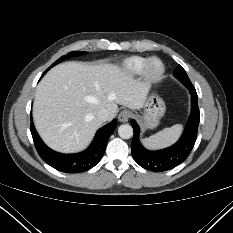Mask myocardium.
Here are the masks:
<instances>
[{"instance_id": "myocardium-1", "label": "myocardium", "mask_w": 233, "mask_h": 233, "mask_svg": "<svg viewBox=\"0 0 233 233\" xmlns=\"http://www.w3.org/2000/svg\"><path fill=\"white\" fill-rule=\"evenodd\" d=\"M154 62L159 64V68L156 71H154L151 67ZM164 72H165L164 63L157 57H151L147 59L144 68L142 70L143 77L148 82H156L160 80Z\"/></svg>"}]
</instances>
